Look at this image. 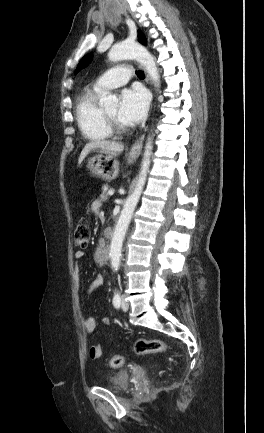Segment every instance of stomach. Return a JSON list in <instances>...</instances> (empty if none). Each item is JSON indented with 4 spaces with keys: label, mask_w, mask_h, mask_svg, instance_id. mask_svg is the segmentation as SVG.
Segmentation results:
<instances>
[{
    "label": "stomach",
    "mask_w": 264,
    "mask_h": 433,
    "mask_svg": "<svg viewBox=\"0 0 264 433\" xmlns=\"http://www.w3.org/2000/svg\"><path fill=\"white\" fill-rule=\"evenodd\" d=\"M133 160H130L132 162ZM88 170L92 175L103 180H114L119 173V162L111 154H97L91 157L87 163Z\"/></svg>",
    "instance_id": "stomach-1"
}]
</instances>
